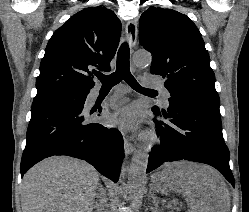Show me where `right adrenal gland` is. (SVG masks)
Segmentation results:
<instances>
[{
  "instance_id": "1",
  "label": "right adrenal gland",
  "mask_w": 249,
  "mask_h": 212,
  "mask_svg": "<svg viewBox=\"0 0 249 212\" xmlns=\"http://www.w3.org/2000/svg\"><path fill=\"white\" fill-rule=\"evenodd\" d=\"M98 190H99V198H100V206H98V208H96V212H99V210H103V202H105V190L104 188H102V186H98Z\"/></svg>"
}]
</instances>
